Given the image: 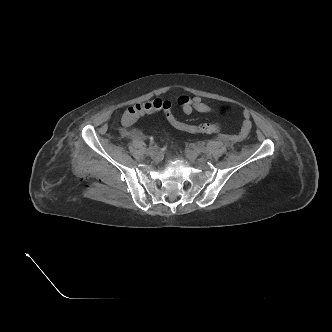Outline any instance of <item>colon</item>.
Segmentation results:
<instances>
[{
    "label": "colon",
    "instance_id": "1",
    "mask_svg": "<svg viewBox=\"0 0 332 332\" xmlns=\"http://www.w3.org/2000/svg\"><path fill=\"white\" fill-rule=\"evenodd\" d=\"M226 108L220 109L223 115ZM161 112L168 124L174 129L188 134H211L219 131L218 122H203L200 124H190L184 121L173 110L172 104L168 100L155 98L129 107L122 116V122L125 125L132 124L136 119L143 115Z\"/></svg>",
    "mask_w": 332,
    "mask_h": 332
}]
</instances>
